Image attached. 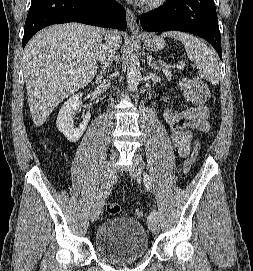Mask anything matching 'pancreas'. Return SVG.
Segmentation results:
<instances>
[{"mask_svg":"<svg viewBox=\"0 0 253 271\" xmlns=\"http://www.w3.org/2000/svg\"><path fill=\"white\" fill-rule=\"evenodd\" d=\"M163 73L165 74V76L167 77L168 80L172 79V74H171V70L169 67H164L162 68Z\"/></svg>","mask_w":253,"mask_h":271,"instance_id":"1","label":"pancreas"}]
</instances>
